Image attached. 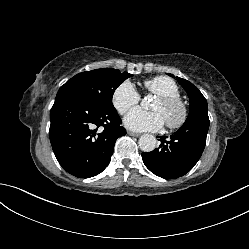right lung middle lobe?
Returning <instances> with one entry per match:
<instances>
[{"label": "right lung middle lobe", "instance_id": "dd1d6c3e", "mask_svg": "<svg viewBox=\"0 0 249 249\" xmlns=\"http://www.w3.org/2000/svg\"><path fill=\"white\" fill-rule=\"evenodd\" d=\"M132 74L105 68L86 71L75 75L62 85L58 93H72L91 105L103 109H115L112 96L116 88Z\"/></svg>", "mask_w": 249, "mask_h": 249}]
</instances>
